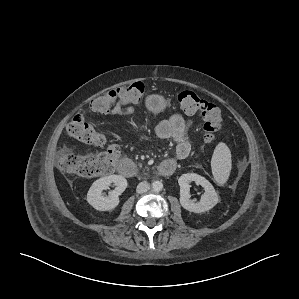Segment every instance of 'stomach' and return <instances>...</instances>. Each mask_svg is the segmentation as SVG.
<instances>
[{
    "label": "stomach",
    "mask_w": 299,
    "mask_h": 299,
    "mask_svg": "<svg viewBox=\"0 0 299 299\" xmlns=\"http://www.w3.org/2000/svg\"><path fill=\"white\" fill-rule=\"evenodd\" d=\"M169 105L170 102L158 94L149 95L145 100L147 110L154 115L164 112Z\"/></svg>",
    "instance_id": "obj_1"
}]
</instances>
